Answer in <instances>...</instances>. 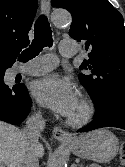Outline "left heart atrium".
Returning a JSON list of instances; mask_svg holds the SVG:
<instances>
[{
  "label": "left heart atrium",
  "instance_id": "obj_1",
  "mask_svg": "<svg viewBox=\"0 0 125 167\" xmlns=\"http://www.w3.org/2000/svg\"><path fill=\"white\" fill-rule=\"evenodd\" d=\"M31 92L44 107L69 116L78 103V95L70 79L57 73L45 75L36 80Z\"/></svg>",
  "mask_w": 125,
  "mask_h": 167
}]
</instances>
